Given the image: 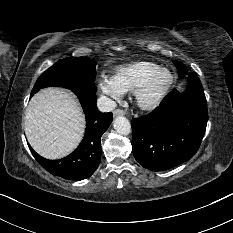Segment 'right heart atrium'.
Wrapping results in <instances>:
<instances>
[{
  "mask_svg": "<svg viewBox=\"0 0 233 233\" xmlns=\"http://www.w3.org/2000/svg\"><path fill=\"white\" fill-rule=\"evenodd\" d=\"M99 90L113 101H119L124 91L117 85L113 77L102 74L98 79Z\"/></svg>",
  "mask_w": 233,
  "mask_h": 233,
  "instance_id": "obj_1",
  "label": "right heart atrium"
}]
</instances>
